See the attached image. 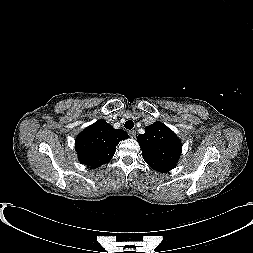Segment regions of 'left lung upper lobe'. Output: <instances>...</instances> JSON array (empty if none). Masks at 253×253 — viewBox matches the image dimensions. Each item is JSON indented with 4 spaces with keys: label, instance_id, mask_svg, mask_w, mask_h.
<instances>
[{
    "label": "left lung upper lobe",
    "instance_id": "obj_1",
    "mask_svg": "<svg viewBox=\"0 0 253 253\" xmlns=\"http://www.w3.org/2000/svg\"><path fill=\"white\" fill-rule=\"evenodd\" d=\"M143 159L158 172H168L176 166L182 144L175 133L161 122L145 128V133L137 137Z\"/></svg>",
    "mask_w": 253,
    "mask_h": 253
}]
</instances>
